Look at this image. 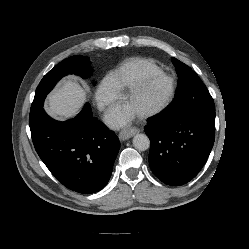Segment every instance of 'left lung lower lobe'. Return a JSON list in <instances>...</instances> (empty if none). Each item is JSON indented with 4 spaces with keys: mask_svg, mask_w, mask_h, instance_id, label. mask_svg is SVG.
<instances>
[{
    "mask_svg": "<svg viewBox=\"0 0 249 249\" xmlns=\"http://www.w3.org/2000/svg\"><path fill=\"white\" fill-rule=\"evenodd\" d=\"M215 115L205 110L169 120L160 114L148 121L149 164L158 179L178 186L199 173L214 144Z\"/></svg>",
    "mask_w": 249,
    "mask_h": 249,
    "instance_id": "1",
    "label": "left lung lower lobe"
}]
</instances>
